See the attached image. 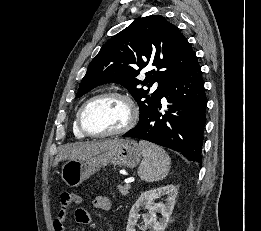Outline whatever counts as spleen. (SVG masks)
<instances>
[{
	"label": "spleen",
	"mask_w": 261,
	"mask_h": 231,
	"mask_svg": "<svg viewBox=\"0 0 261 231\" xmlns=\"http://www.w3.org/2000/svg\"><path fill=\"white\" fill-rule=\"evenodd\" d=\"M143 160L138 168V175L146 182L164 179L169 172L171 159L164 149L147 141L139 142Z\"/></svg>",
	"instance_id": "spleen-1"
}]
</instances>
